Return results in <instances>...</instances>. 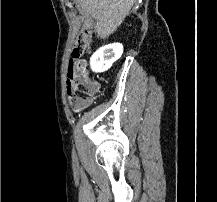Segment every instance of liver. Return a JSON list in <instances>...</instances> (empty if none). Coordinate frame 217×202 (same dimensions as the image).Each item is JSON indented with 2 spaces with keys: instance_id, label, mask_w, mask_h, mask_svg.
Returning a JSON list of instances; mask_svg holds the SVG:
<instances>
[{
  "instance_id": "6515ba94",
  "label": "liver",
  "mask_w": 217,
  "mask_h": 202,
  "mask_svg": "<svg viewBox=\"0 0 217 202\" xmlns=\"http://www.w3.org/2000/svg\"><path fill=\"white\" fill-rule=\"evenodd\" d=\"M137 0H76L77 8L92 14L96 20L95 34L105 40L116 32Z\"/></svg>"
}]
</instances>
